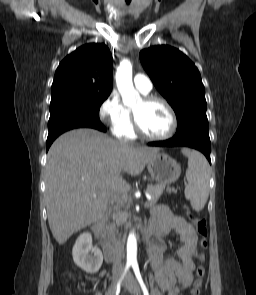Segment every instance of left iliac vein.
<instances>
[{
    "label": "left iliac vein",
    "instance_id": "obj_1",
    "mask_svg": "<svg viewBox=\"0 0 256 295\" xmlns=\"http://www.w3.org/2000/svg\"><path fill=\"white\" fill-rule=\"evenodd\" d=\"M123 285L129 288L134 292L135 295H141V291L139 289V286L131 272H128L124 281Z\"/></svg>",
    "mask_w": 256,
    "mask_h": 295
}]
</instances>
